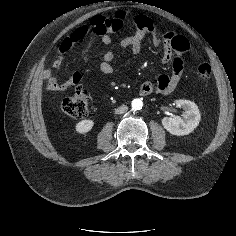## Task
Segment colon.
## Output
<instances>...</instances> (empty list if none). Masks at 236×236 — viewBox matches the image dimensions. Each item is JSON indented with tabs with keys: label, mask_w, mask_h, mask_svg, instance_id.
I'll use <instances>...</instances> for the list:
<instances>
[{
	"label": "colon",
	"mask_w": 236,
	"mask_h": 236,
	"mask_svg": "<svg viewBox=\"0 0 236 236\" xmlns=\"http://www.w3.org/2000/svg\"><path fill=\"white\" fill-rule=\"evenodd\" d=\"M145 16L139 15L134 18L135 24L141 20H144ZM127 26V17L125 14H118L112 19L104 17H95L91 20L89 25H85L78 28L72 35L73 39L77 41L89 30L95 31L97 27H100L102 31L118 32ZM211 66L209 64H202L197 68V78L201 82H207L211 77ZM89 94L86 89L78 88L74 94L63 98L60 102L61 110L71 118L82 119L88 113L89 108Z\"/></svg>",
	"instance_id": "1"
}]
</instances>
